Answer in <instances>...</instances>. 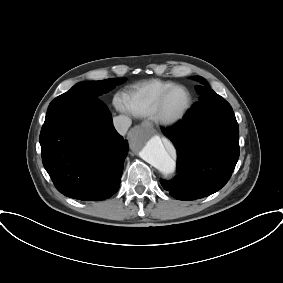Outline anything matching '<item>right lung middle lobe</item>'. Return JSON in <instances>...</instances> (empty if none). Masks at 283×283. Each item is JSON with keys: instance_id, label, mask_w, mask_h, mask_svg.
<instances>
[{"instance_id": "right-lung-middle-lobe-1", "label": "right lung middle lobe", "mask_w": 283, "mask_h": 283, "mask_svg": "<svg viewBox=\"0 0 283 283\" xmlns=\"http://www.w3.org/2000/svg\"><path fill=\"white\" fill-rule=\"evenodd\" d=\"M125 78L106 79L102 81L81 82L73 86L66 93L56 97L49 104L47 113L58 108L81 106L97 100L98 96L109 92Z\"/></svg>"}]
</instances>
